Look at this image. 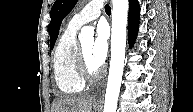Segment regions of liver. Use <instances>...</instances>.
<instances>
[{
    "instance_id": "liver-1",
    "label": "liver",
    "mask_w": 193,
    "mask_h": 112,
    "mask_svg": "<svg viewBox=\"0 0 193 112\" xmlns=\"http://www.w3.org/2000/svg\"><path fill=\"white\" fill-rule=\"evenodd\" d=\"M92 97H60L52 105L51 112H93Z\"/></svg>"
}]
</instances>
